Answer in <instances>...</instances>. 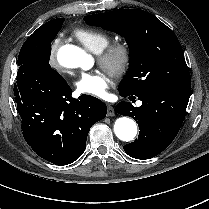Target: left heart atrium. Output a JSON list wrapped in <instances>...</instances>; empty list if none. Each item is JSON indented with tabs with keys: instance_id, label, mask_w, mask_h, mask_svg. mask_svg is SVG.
I'll list each match as a JSON object with an SVG mask.
<instances>
[{
	"instance_id": "left-heart-atrium-1",
	"label": "left heart atrium",
	"mask_w": 209,
	"mask_h": 209,
	"mask_svg": "<svg viewBox=\"0 0 209 209\" xmlns=\"http://www.w3.org/2000/svg\"><path fill=\"white\" fill-rule=\"evenodd\" d=\"M109 79L100 73L84 72L75 81L76 91L81 95L104 98L107 94Z\"/></svg>"
}]
</instances>
